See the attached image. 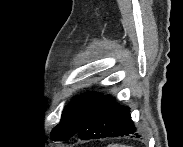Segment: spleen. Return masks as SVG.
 Instances as JSON below:
<instances>
[{"instance_id": "obj_1", "label": "spleen", "mask_w": 183, "mask_h": 147, "mask_svg": "<svg viewBox=\"0 0 183 147\" xmlns=\"http://www.w3.org/2000/svg\"><path fill=\"white\" fill-rule=\"evenodd\" d=\"M109 147H125V146L124 145L113 144V145H109Z\"/></svg>"}]
</instances>
